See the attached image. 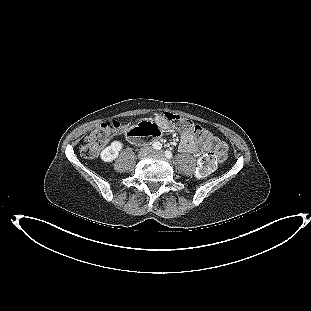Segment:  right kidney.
Segmentation results:
<instances>
[{
  "label": "right kidney",
  "instance_id": "1",
  "mask_svg": "<svg viewBox=\"0 0 311 311\" xmlns=\"http://www.w3.org/2000/svg\"><path fill=\"white\" fill-rule=\"evenodd\" d=\"M123 144L120 141H113L108 147L101 151L100 157L104 162H112L115 160L119 151H121Z\"/></svg>",
  "mask_w": 311,
  "mask_h": 311
}]
</instances>
